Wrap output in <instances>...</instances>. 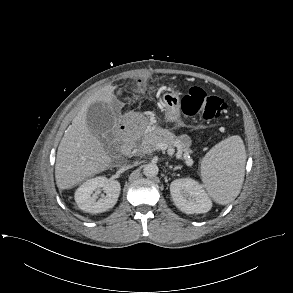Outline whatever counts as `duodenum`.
Listing matches in <instances>:
<instances>
[{
	"mask_svg": "<svg viewBox=\"0 0 293 293\" xmlns=\"http://www.w3.org/2000/svg\"><path fill=\"white\" fill-rule=\"evenodd\" d=\"M119 135L121 137H130L131 135V130L129 129L126 118H123L121 120V123L119 126ZM131 150H132V144L130 142H126L122 147V151L125 154H129Z\"/></svg>",
	"mask_w": 293,
	"mask_h": 293,
	"instance_id": "1",
	"label": "duodenum"
}]
</instances>
